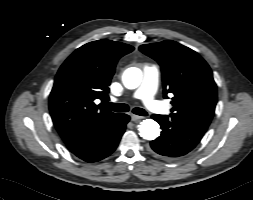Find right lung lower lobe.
Here are the masks:
<instances>
[{"mask_svg":"<svg viewBox=\"0 0 253 200\" xmlns=\"http://www.w3.org/2000/svg\"><path fill=\"white\" fill-rule=\"evenodd\" d=\"M129 119L128 115L119 113L100 130L66 143V146L74 155L86 162L100 161L116 149Z\"/></svg>","mask_w":253,"mask_h":200,"instance_id":"1","label":"right lung lower lobe"}]
</instances>
